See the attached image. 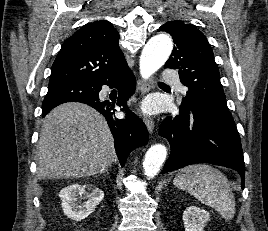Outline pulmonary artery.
Segmentation results:
<instances>
[{
  "mask_svg": "<svg viewBox=\"0 0 268 231\" xmlns=\"http://www.w3.org/2000/svg\"><path fill=\"white\" fill-rule=\"evenodd\" d=\"M163 78L165 79V81L175 85L177 87L178 91H180V92L186 91V87L184 85L175 83V81L177 80V74L175 72L167 70L164 73Z\"/></svg>",
  "mask_w": 268,
  "mask_h": 231,
  "instance_id": "e3ab8cb5",
  "label": "pulmonary artery"
}]
</instances>
